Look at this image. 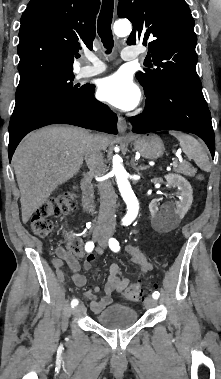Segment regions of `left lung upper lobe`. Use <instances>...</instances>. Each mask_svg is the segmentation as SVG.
Wrapping results in <instances>:
<instances>
[{
	"label": "left lung upper lobe",
	"instance_id": "obj_1",
	"mask_svg": "<svg viewBox=\"0 0 221 379\" xmlns=\"http://www.w3.org/2000/svg\"><path fill=\"white\" fill-rule=\"evenodd\" d=\"M117 13L133 24L127 43L148 44L146 60L157 66L136 74L145 92L158 83L202 91L194 19L185 0H120Z\"/></svg>",
	"mask_w": 221,
	"mask_h": 379
}]
</instances>
